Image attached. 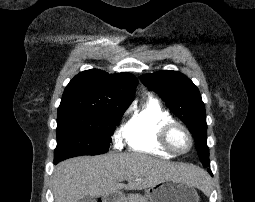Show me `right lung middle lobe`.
<instances>
[{"instance_id": "obj_1", "label": "right lung middle lobe", "mask_w": 255, "mask_h": 202, "mask_svg": "<svg viewBox=\"0 0 255 202\" xmlns=\"http://www.w3.org/2000/svg\"><path fill=\"white\" fill-rule=\"evenodd\" d=\"M126 109L58 115L54 162L78 155L106 153L116 124Z\"/></svg>"}]
</instances>
